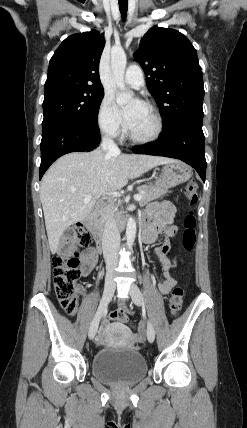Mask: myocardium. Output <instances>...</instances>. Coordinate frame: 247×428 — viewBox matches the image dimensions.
I'll list each match as a JSON object with an SVG mask.
<instances>
[{"mask_svg": "<svg viewBox=\"0 0 247 428\" xmlns=\"http://www.w3.org/2000/svg\"><path fill=\"white\" fill-rule=\"evenodd\" d=\"M146 107L152 113L155 119L156 126H155L154 132L151 135L146 137H138L134 135L129 129L128 130L129 138L131 139V141L137 144H149V143L155 142L161 137L164 131V120L159 110L149 103L146 104Z\"/></svg>", "mask_w": 247, "mask_h": 428, "instance_id": "f54148a6", "label": "myocardium"}]
</instances>
